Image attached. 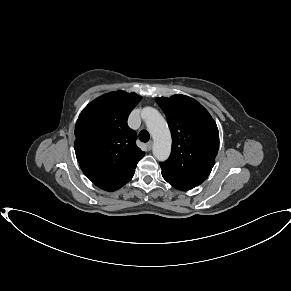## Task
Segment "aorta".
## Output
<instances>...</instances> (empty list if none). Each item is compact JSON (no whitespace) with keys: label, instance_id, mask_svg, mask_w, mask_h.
<instances>
[{"label":"aorta","instance_id":"obj_1","mask_svg":"<svg viewBox=\"0 0 291 291\" xmlns=\"http://www.w3.org/2000/svg\"><path fill=\"white\" fill-rule=\"evenodd\" d=\"M141 116L153 138L154 157L159 161H165L171 152V134L165 119L152 107L144 108Z\"/></svg>","mask_w":291,"mask_h":291}]
</instances>
